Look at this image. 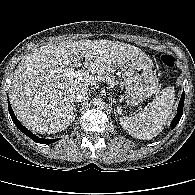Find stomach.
I'll use <instances>...</instances> for the list:
<instances>
[{"mask_svg": "<svg viewBox=\"0 0 195 195\" xmlns=\"http://www.w3.org/2000/svg\"><path fill=\"white\" fill-rule=\"evenodd\" d=\"M125 99L130 106L140 104L158 91L159 79L147 55L138 56L124 67Z\"/></svg>", "mask_w": 195, "mask_h": 195, "instance_id": "stomach-1", "label": "stomach"}]
</instances>
